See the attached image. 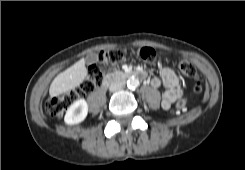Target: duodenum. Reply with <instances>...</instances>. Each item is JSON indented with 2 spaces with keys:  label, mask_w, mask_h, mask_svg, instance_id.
Instances as JSON below:
<instances>
[{
  "label": "duodenum",
  "mask_w": 245,
  "mask_h": 170,
  "mask_svg": "<svg viewBox=\"0 0 245 170\" xmlns=\"http://www.w3.org/2000/svg\"><path fill=\"white\" fill-rule=\"evenodd\" d=\"M130 76H135V77H142L143 73L141 71H132L130 73H125V72H114V73H109L107 74L103 81H102V86L107 87L111 82L113 81H118L121 79H126Z\"/></svg>",
  "instance_id": "duodenum-1"
}]
</instances>
